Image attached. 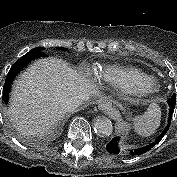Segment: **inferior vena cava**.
Listing matches in <instances>:
<instances>
[{
    "label": "inferior vena cava",
    "instance_id": "1",
    "mask_svg": "<svg viewBox=\"0 0 177 177\" xmlns=\"http://www.w3.org/2000/svg\"><path fill=\"white\" fill-rule=\"evenodd\" d=\"M87 100V97L85 96H72L67 97L62 100L60 107L63 112H71L77 109L83 101Z\"/></svg>",
    "mask_w": 177,
    "mask_h": 177
}]
</instances>
